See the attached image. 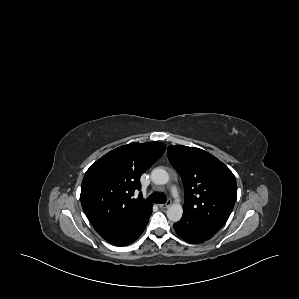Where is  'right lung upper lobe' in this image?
Listing matches in <instances>:
<instances>
[{"instance_id":"right-lung-upper-lobe-1","label":"right lung upper lobe","mask_w":299,"mask_h":299,"mask_svg":"<svg viewBox=\"0 0 299 299\" xmlns=\"http://www.w3.org/2000/svg\"><path fill=\"white\" fill-rule=\"evenodd\" d=\"M160 142L131 143L118 147L87 170L81 186L82 208L100 234L135 225L152 212V204L133 198L140 177L164 153Z\"/></svg>"}]
</instances>
